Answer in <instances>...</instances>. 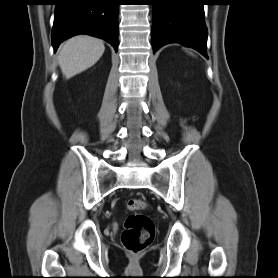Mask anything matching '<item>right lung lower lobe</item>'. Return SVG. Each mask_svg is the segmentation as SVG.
I'll use <instances>...</instances> for the list:
<instances>
[{"label":"right lung lower lobe","instance_id":"98d812e1","mask_svg":"<svg viewBox=\"0 0 278 278\" xmlns=\"http://www.w3.org/2000/svg\"><path fill=\"white\" fill-rule=\"evenodd\" d=\"M55 5L54 52L61 42L77 34L101 38L117 52L119 0H56Z\"/></svg>","mask_w":278,"mask_h":278}]
</instances>
